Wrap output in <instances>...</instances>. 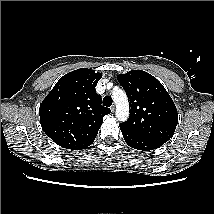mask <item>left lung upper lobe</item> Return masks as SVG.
Instances as JSON below:
<instances>
[{
	"mask_svg": "<svg viewBox=\"0 0 214 214\" xmlns=\"http://www.w3.org/2000/svg\"><path fill=\"white\" fill-rule=\"evenodd\" d=\"M118 80L131 104L129 119L121 123L120 128L166 143L175 132L178 113L163 85L142 70L119 74Z\"/></svg>",
	"mask_w": 214,
	"mask_h": 214,
	"instance_id": "obj_1",
	"label": "left lung upper lobe"
}]
</instances>
